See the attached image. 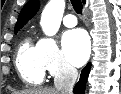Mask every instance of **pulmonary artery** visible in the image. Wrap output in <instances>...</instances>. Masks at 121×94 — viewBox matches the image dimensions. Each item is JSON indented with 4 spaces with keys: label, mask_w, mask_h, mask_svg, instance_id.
I'll list each match as a JSON object with an SVG mask.
<instances>
[{
    "label": "pulmonary artery",
    "mask_w": 121,
    "mask_h": 94,
    "mask_svg": "<svg viewBox=\"0 0 121 94\" xmlns=\"http://www.w3.org/2000/svg\"><path fill=\"white\" fill-rule=\"evenodd\" d=\"M63 24L66 27H74L77 25V18L74 14H66L63 18Z\"/></svg>",
    "instance_id": "obj_1"
}]
</instances>
